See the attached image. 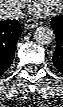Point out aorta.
<instances>
[{"mask_svg": "<svg viewBox=\"0 0 63 107\" xmlns=\"http://www.w3.org/2000/svg\"><path fill=\"white\" fill-rule=\"evenodd\" d=\"M55 38L51 28L46 26L38 27L34 32V39L38 44L49 45Z\"/></svg>", "mask_w": 63, "mask_h": 107, "instance_id": "1", "label": "aorta"}]
</instances>
